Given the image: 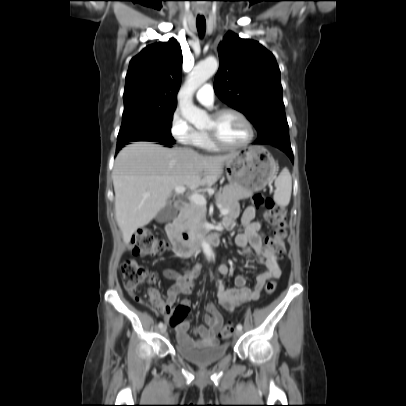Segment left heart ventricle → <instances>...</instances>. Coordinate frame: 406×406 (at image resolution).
Wrapping results in <instances>:
<instances>
[{
    "label": "left heart ventricle",
    "instance_id": "b2bd125f",
    "mask_svg": "<svg viewBox=\"0 0 406 406\" xmlns=\"http://www.w3.org/2000/svg\"><path fill=\"white\" fill-rule=\"evenodd\" d=\"M205 129L216 131L219 138L230 145L242 143L248 135L245 123L233 113H226L218 119L210 116Z\"/></svg>",
    "mask_w": 406,
    "mask_h": 406
}]
</instances>
